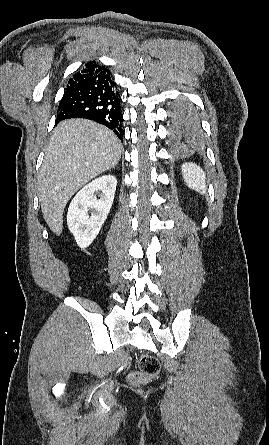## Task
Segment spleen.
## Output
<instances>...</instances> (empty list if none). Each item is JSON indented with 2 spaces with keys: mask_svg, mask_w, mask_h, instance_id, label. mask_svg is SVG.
<instances>
[{
  "mask_svg": "<svg viewBox=\"0 0 269 445\" xmlns=\"http://www.w3.org/2000/svg\"><path fill=\"white\" fill-rule=\"evenodd\" d=\"M182 174L184 181L190 189L205 194L206 176L199 166L194 163H185L182 165Z\"/></svg>",
  "mask_w": 269,
  "mask_h": 445,
  "instance_id": "obj_1",
  "label": "spleen"
}]
</instances>
